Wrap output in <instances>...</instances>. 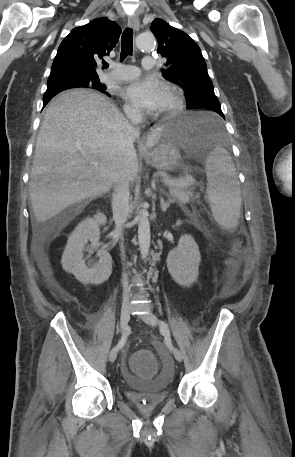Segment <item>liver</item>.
I'll return each instance as SVG.
<instances>
[{
  "mask_svg": "<svg viewBox=\"0 0 295 457\" xmlns=\"http://www.w3.org/2000/svg\"><path fill=\"white\" fill-rule=\"evenodd\" d=\"M152 129L146 146L157 143ZM140 132L104 95L73 89L47 107L36 141L29 197L42 223L67 207L110 191L118 175L138 173L134 141ZM99 162L93 167L91 161Z\"/></svg>",
  "mask_w": 295,
  "mask_h": 457,
  "instance_id": "6515ba94",
  "label": "liver"
}]
</instances>
